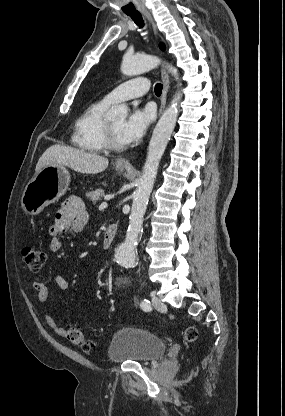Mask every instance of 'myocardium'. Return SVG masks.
I'll return each mask as SVG.
<instances>
[{
  "label": "myocardium",
  "instance_id": "myocardium-1",
  "mask_svg": "<svg viewBox=\"0 0 285 416\" xmlns=\"http://www.w3.org/2000/svg\"><path fill=\"white\" fill-rule=\"evenodd\" d=\"M103 141L105 148L113 152H121L124 150V145L117 143L112 135L109 123L107 120L103 123Z\"/></svg>",
  "mask_w": 285,
  "mask_h": 416
}]
</instances>
